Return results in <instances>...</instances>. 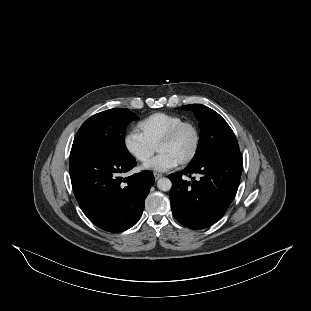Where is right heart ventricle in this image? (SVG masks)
I'll return each mask as SVG.
<instances>
[{
    "label": "right heart ventricle",
    "mask_w": 311,
    "mask_h": 311,
    "mask_svg": "<svg viewBox=\"0 0 311 311\" xmlns=\"http://www.w3.org/2000/svg\"><path fill=\"white\" fill-rule=\"evenodd\" d=\"M185 117L178 114L155 112L141 119L137 126L144 138L153 147Z\"/></svg>",
    "instance_id": "e07e8e85"
}]
</instances>
